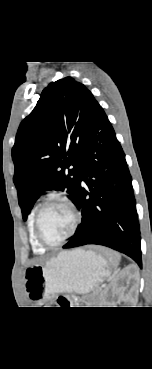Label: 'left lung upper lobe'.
I'll return each mask as SVG.
<instances>
[{"mask_svg":"<svg viewBox=\"0 0 152 369\" xmlns=\"http://www.w3.org/2000/svg\"><path fill=\"white\" fill-rule=\"evenodd\" d=\"M99 107L83 84L66 77L50 83L21 122L12 158L24 220L44 191L66 190L74 202L81 154Z\"/></svg>","mask_w":152,"mask_h":369,"instance_id":"left-lung-upper-lobe-1","label":"left lung upper lobe"}]
</instances>
